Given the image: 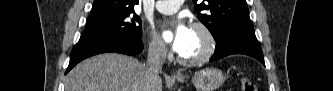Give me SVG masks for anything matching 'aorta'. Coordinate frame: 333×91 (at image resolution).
I'll return each instance as SVG.
<instances>
[{
    "mask_svg": "<svg viewBox=\"0 0 333 91\" xmlns=\"http://www.w3.org/2000/svg\"><path fill=\"white\" fill-rule=\"evenodd\" d=\"M164 39L169 40L172 38V33L171 32H165L163 34Z\"/></svg>",
    "mask_w": 333,
    "mask_h": 91,
    "instance_id": "obj_1",
    "label": "aorta"
}]
</instances>
